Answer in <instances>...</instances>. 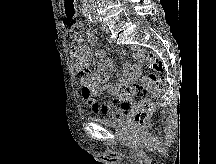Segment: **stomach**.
I'll use <instances>...</instances> for the list:
<instances>
[{
    "label": "stomach",
    "mask_w": 216,
    "mask_h": 164,
    "mask_svg": "<svg viewBox=\"0 0 216 164\" xmlns=\"http://www.w3.org/2000/svg\"><path fill=\"white\" fill-rule=\"evenodd\" d=\"M62 3H65L64 12L65 15L63 16L64 20H77L78 19V12L76 3L74 0H62Z\"/></svg>",
    "instance_id": "0dacf381"
}]
</instances>
